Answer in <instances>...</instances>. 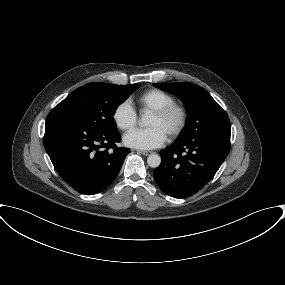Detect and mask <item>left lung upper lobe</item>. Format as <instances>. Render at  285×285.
<instances>
[{
	"instance_id": "obj_1",
	"label": "left lung upper lobe",
	"mask_w": 285,
	"mask_h": 285,
	"mask_svg": "<svg viewBox=\"0 0 285 285\" xmlns=\"http://www.w3.org/2000/svg\"><path fill=\"white\" fill-rule=\"evenodd\" d=\"M153 85L174 94L185 105L186 124L178 141L210 135L230 137L228 115L205 89L189 82L153 83Z\"/></svg>"
}]
</instances>
